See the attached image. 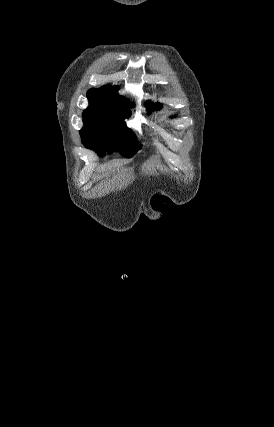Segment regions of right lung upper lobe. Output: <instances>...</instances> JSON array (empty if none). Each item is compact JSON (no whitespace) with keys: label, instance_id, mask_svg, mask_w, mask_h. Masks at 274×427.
<instances>
[{"label":"right lung upper lobe","instance_id":"cb5924a9","mask_svg":"<svg viewBox=\"0 0 274 427\" xmlns=\"http://www.w3.org/2000/svg\"><path fill=\"white\" fill-rule=\"evenodd\" d=\"M117 87L105 86L100 89L92 88L88 91L89 107L83 112L84 116H94L107 113H130L128 104L117 93Z\"/></svg>","mask_w":274,"mask_h":427}]
</instances>
